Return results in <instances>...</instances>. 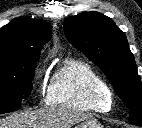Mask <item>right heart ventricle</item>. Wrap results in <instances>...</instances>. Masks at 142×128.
<instances>
[{"mask_svg": "<svg viewBox=\"0 0 142 128\" xmlns=\"http://www.w3.org/2000/svg\"><path fill=\"white\" fill-rule=\"evenodd\" d=\"M112 93L100 73L87 61L70 58L54 70L46 102L51 106L105 113Z\"/></svg>", "mask_w": 142, "mask_h": 128, "instance_id": "obj_1", "label": "right heart ventricle"}]
</instances>
